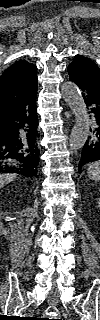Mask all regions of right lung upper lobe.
<instances>
[{"label": "right lung upper lobe", "mask_w": 100, "mask_h": 320, "mask_svg": "<svg viewBox=\"0 0 100 320\" xmlns=\"http://www.w3.org/2000/svg\"><path fill=\"white\" fill-rule=\"evenodd\" d=\"M36 66L19 60L0 77V105L21 100L37 89Z\"/></svg>", "instance_id": "1"}]
</instances>
